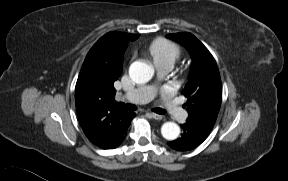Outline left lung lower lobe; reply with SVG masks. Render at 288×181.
I'll return each mask as SVG.
<instances>
[{
  "label": "left lung lower lobe",
  "instance_id": "obj_1",
  "mask_svg": "<svg viewBox=\"0 0 288 181\" xmlns=\"http://www.w3.org/2000/svg\"><path fill=\"white\" fill-rule=\"evenodd\" d=\"M212 126L193 120L183 124V133L177 140L168 142V145L178 151H189L200 145L212 130Z\"/></svg>",
  "mask_w": 288,
  "mask_h": 181
}]
</instances>
